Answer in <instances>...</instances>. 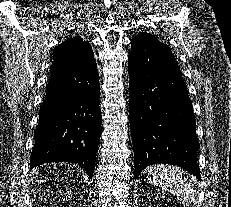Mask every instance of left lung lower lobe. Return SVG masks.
I'll return each mask as SVG.
<instances>
[{
  "label": "left lung lower lobe",
  "mask_w": 231,
  "mask_h": 207,
  "mask_svg": "<svg viewBox=\"0 0 231 207\" xmlns=\"http://www.w3.org/2000/svg\"><path fill=\"white\" fill-rule=\"evenodd\" d=\"M130 129L135 176L163 163L180 166L201 180L192 102L170 48L156 39L131 41Z\"/></svg>",
  "instance_id": "obj_1"
}]
</instances>
